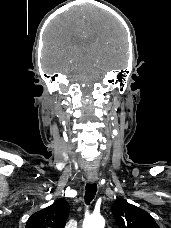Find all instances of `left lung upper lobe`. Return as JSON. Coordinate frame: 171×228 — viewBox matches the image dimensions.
Returning a JSON list of instances; mask_svg holds the SVG:
<instances>
[{"mask_svg": "<svg viewBox=\"0 0 171 228\" xmlns=\"http://www.w3.org/2000/svg\"><path fill=\"white\" fill-rule=\"evenodd\" d=\"M111 211L119 228H159L149 213L124 199H117Z\"/></svg>", "mask_w": 171, "mask_h": 228, "instance_id": "5c2ea615", "label": "left lung upper lobe"}]
</instances>
